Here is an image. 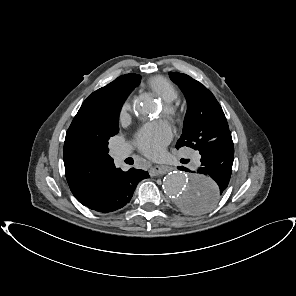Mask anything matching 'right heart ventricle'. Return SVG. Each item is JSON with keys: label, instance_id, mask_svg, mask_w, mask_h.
Listing matches in <instances>:
<instances>
[{"label": "right heart ventricle", "instance_id": "e07e8e85", "mask_svg": "<svg viewBox=\"0 0 296 296\" xmlns=\"http://www.w3.org/2000/svg\"><path fill=\"white\" fill-rule=\"evenodd\" d=\"M148 86L164 102H175L179 97L176 87L162 76L149 79Z\"/></svg>", "mask_w": 296, "mask_h": 296}]
</instances>
